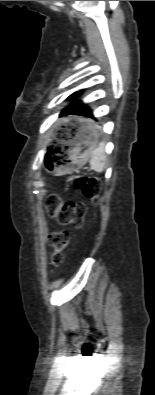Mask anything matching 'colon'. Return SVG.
Here are the masks:
<instances>
[{"label":"colon","instance_id":"obj_1","mask_svg":"<svg viewBox=\"0 0 155 395\" xmlns=\"http://www.w3.org/2000/svg\"><path fill=\"white\" fill-rule=\"evenodd\" d=\"M75 185L82 189L83 194L89 199H95L100 189L98 179L93 177H79ZM45 209L50 217H53L62 226L80 227L83 224L86 207L80 202H64L58 195L50 194L45 200ZM70 242L69 233L65 230L55 231L49 235V243L52 247L51 261L58 265L62 261V252Z\"/></svg>","mask_w":155,"mask_h":395}]
</instances>
